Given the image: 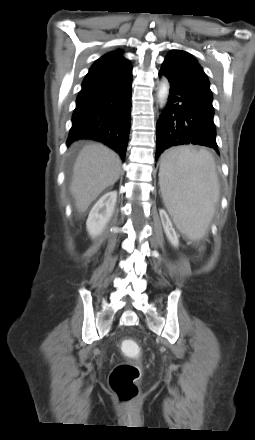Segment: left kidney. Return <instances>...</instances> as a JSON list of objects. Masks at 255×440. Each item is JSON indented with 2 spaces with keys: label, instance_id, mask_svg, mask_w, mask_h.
I'll use <instances>...</instances> for the list:
<instances>
[{
  "label": "left kidney",
  "instance_id": "obj_1",
  "mask_svg": "<svg viewBox=\"0 0 255 440\" xmlns=\"http://www.w3.org/2000/svg\"><path fill=\"white\" fill-rule=\"evenodd\" d=\"M163 216L165 218V222L163 224L164 226V231L169 239V241L171 242L172 245L174 246H178V237L176 235V232L174 230V228L172 227V224L170 222V220L168 219L167 215L165 213H163Z\"/></svg>",
  "mask_w": 255,
  "mask_h": 440
}]
</instances>
